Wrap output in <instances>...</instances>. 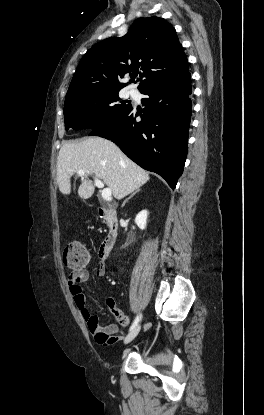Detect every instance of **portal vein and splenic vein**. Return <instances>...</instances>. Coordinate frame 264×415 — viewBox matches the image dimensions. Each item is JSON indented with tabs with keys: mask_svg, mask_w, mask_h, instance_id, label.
Instances as JSON below:
<instances>
[{
	"mask_svg": "<svg viewBox=\"0 0 264 415\" xmlns=\"http://www.w3.org/2000/svg\"><path fill=\"white\" fill-rule=\"evenodd\" d=\"M77 173H78L79 176H83L88 172L84 169H80V170H78ZM94 183L98 188L102 189L101 190L102 198L104 200L110 202L112 200V191H111V189L110 188H104V183L101 180L97 179V178L94 179Z\"/></svg>",
	"mask_w": 264,
	"mask_h": 415,
	"instance_id": "18ae733b",
	"label": "portal vein and splenic vein"
}]
</instances>
